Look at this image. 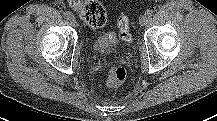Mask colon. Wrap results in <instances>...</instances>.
<instances>
[{"label": "colon", "instance_id": "1", "mask_svg": "<svg viewBox=\"0 0 217 121\" xmlns=\"http://www.w3.org/2000/svg\"><path fill=\"white\" fill-rule=\"evenodd\" d=\"M71 7L77 11L81 19L93 28L102 27L107 21V11L102 0H70ZM119 38L128 42L132 39L129 19L121 15L117 19ZM127 71L121 64L113 65L107 75V86L116 88L126 79Z\"/></svg>", "mask_w": 217, "mask_h": 121}]
</instances>
